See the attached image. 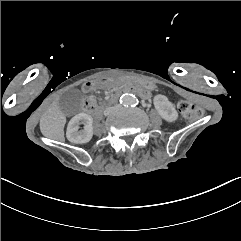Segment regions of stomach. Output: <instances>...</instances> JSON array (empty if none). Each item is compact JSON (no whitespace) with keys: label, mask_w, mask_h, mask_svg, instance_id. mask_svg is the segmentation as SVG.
<instances>
[{"label":"stomach","mask_w":241,"mask_h":241,"mask_svg":"<svg viewBox=\"0 0 241 241\" xmlns=\"http://www.w3.org/2000/svg\"><path fill=\"white\" fill-rule=\"evenodd\" d=\"M112 83L114 85L120 84H137L143 86L148 89H153L155 87V83L150 79L139 78L131 75L119 74L112 79Z\"/></svg>","instance_id":"1"}]
</instances>
